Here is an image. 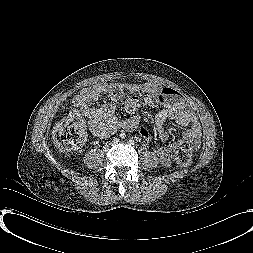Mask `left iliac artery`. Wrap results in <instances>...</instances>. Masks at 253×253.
Masks as SVG:
<instances>
[{
	"label": "left iliac artery",
	"instance_id": "44dca946",
	"mask_svg": "<svg viewBox=\"0 0 253 253\" xmlns=\"http://www.w3.org/2000/svg\"><path fill=\"white\" fill-rule=\"evenodd\" d=\"M130 144L134 145V141H130Z\"/></svg>",
	"mask_w": 253,
	"mask_h": 253
}]
</instances>
